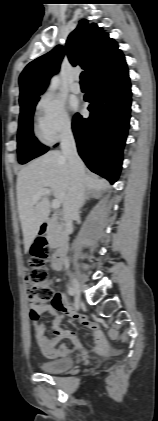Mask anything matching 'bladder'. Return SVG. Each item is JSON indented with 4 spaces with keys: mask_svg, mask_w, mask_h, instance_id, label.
Here are the masks:
<instances>
[{
    "mask_svg": "<svg viewBox=\"0 0 158 421\" xmlns=\"http://www.w3.org/2000/svg\"><path fill=\"white\" fill-rule=\"evenodd\" d=\"M74 360L70 357H61L40 362L39 367L46 373H62L71 369Z\"/></svg>",
    "mask_w": 158,
    "mask_h": 421,
    "instance_id": "obj_1",
    "label": "bladder"
}]
</instances>
